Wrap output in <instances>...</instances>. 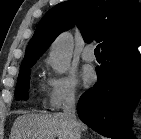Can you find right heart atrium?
Listing matches in <instances>:
<instances>
[{
	"label": "right heart atrium",
	"mask_w": 141,
	"mask_h": 139,
	"mask_svg": "<svg viewBox=\"0 0 141 139\" xmlns=\"http://www.w3.org/2000/svg\"><path fill=\"white\" fill-rule=\"evenodd\" d=\"M78 96L77 83L71 75H52L46 84V104L58 110L72 104Z\"/></svg>",
	"instance_id": "d8ad5b80"
}]
</instances>
